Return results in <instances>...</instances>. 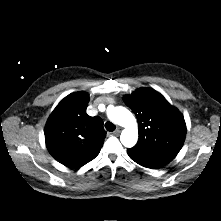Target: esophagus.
Segmentation results:
<instances>
[{
  "label": "esophagus",
  "instance_id": "1",
  "mask_svg": "<svg viewBox=\"0 0 221 221\" xmlns=\"http://www.w3.org/2000/svg\"><path fill=\"white\" fill-rule=\"evenodd\" d=\"M122 131V127H117L116 130L114 131L115 134H119Z\"/></svg>",
  "mask_w": 221,
  "mask_h": 221
}]
</instances>
